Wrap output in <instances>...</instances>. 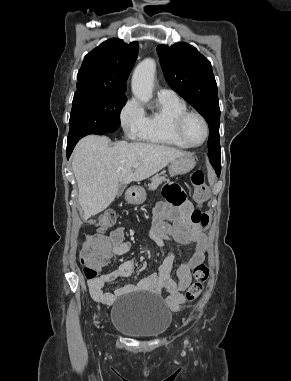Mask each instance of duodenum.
I'll return each mask as SVG.
<instances>
[{"label":"duodenum","mask_w":291,"mask_h":381,"mask_svg":"<svg viewBox=\"0 0 291 381\" xmlns=\"http://www.w3.org/2000/svg\"><path fill=\"white\" fill-rule=\"evenodd\" d=\"M137 194V189L134 188V187H130L128 188L127 190V196L129 198V200L132 202L133 201V198L135 197V195Z\"/></svg>","instance_id":"410a0bca"}]
</instances>
